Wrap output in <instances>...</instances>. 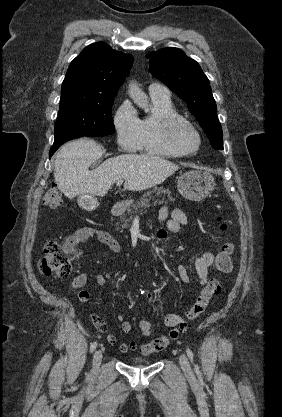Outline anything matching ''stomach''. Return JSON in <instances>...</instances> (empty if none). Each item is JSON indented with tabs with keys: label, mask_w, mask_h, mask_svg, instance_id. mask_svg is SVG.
<instances>
[{
	"label": "stomach",
	"mask_w": 282,
	"mask_h": 417,
	"mask_svg": "<svg viewBox=\"0 0 282 417\" xmlns=\"http://www.w3.org/2000/svg\"><path fill=\"white\" fill-rule=\"evenodd\" d=\"M215 186L214 176L209 170H187L178 178L177 188L187 200H203Z\"/></svg>",
	"instance_id": "0dacf381"
}]
</instances>
